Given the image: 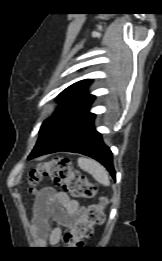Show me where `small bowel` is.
Segmentation results:
<instances>
[{"instance_id": "small-bowel-1", "label": "small bowel", "mask_w": 162, "mask_h": 261, "mask_svg": "<svg viewBox=\"0 0 162 261\" xmlns=\"http://www.w3.org/2000/svg\"><path fill=\"white\" fill-rule=\"evenodd\" d=\"M81 214L82 207L78 201L70 198L66 192L45 187L40 190L35 201V229L40 232L53 219L57 226L51 230L48 242L51 246H56L62 239L61 228H66L71 236Z\"/></svg>"}]
</instances>
